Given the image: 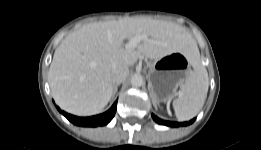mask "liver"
<instances>
[{"instance_id":"1","label":"liver","mask_w":261,"mask_h":150,"mask_svg":"<svg viewBox=\"0 0 261 150\" xmlns=\"http://www.w3.org/2000/svg\"><path fill=\"white\" fill-rule=\"evenodd\" d=\"M147 35L136 48L124 39ZM192 36L181 26L147 18H122L95 22L68 34L55 50L48 81L56 103L65 111L90 116L110 101L114 66H132L143 55L159 59L182 52L191 59Z\"/></svg>"}]
</instances>
